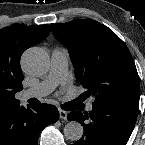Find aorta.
I'll return each instance as SVG.
<instances>
[{"mask_svg": "<svg viewBox=\"0 0 145 145\" xmlns=\"http://www.w3.org/2000/svg\"><path fill=\"white\" fill-rule=\"evenodd\" d=\"M21 64L27 74L40 76L48 70L50 61L43 49L32 47L24 52ZM83 132V126L76 121H70L64 127V135L71 141L79 140L83 136Z\"/></svg>", "mask_w": 145, "mask_h": 145, "instance_id": "762f6f07", "label": "aorta"}]
</instances>
